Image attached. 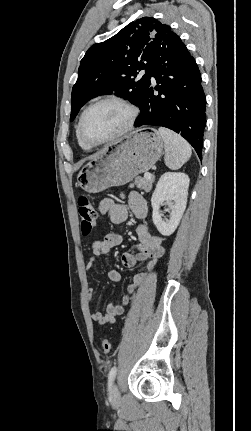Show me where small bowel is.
I'll use <instances>...</instances> for the list:
<instances>
[{
    "label": "small bowel",
    "instance_id": "1",
    "mask_svg": "<svg viewBox=\"0 0 251 431\" xmlns=\"http://www.w3.org/2000/svg\"><path fill=\"white\" fill-rule=\"evenodd\" d=\"M98 210L101 215L107 214L110 221L113 223L125 221L128 217L129 210L140 221L136 228L138 243L122 255V263L128 268L134 267L139 262H146V271L136 274L133 278V282L127 286L128 293L133 294L146 280L148 273L154 268L157 261L164 256L165 247L162 238L149 232L144 222L148 214L147 203L137 192L128 193L127 205L115 202L110 198L102 199L99 202ZM122 241V237L116 233H107L102 239L95 240L92 243V255L88 259L87 268H92L97 258L106 255L111 248L121 245ZM108 277L113 282H120L122 280L121 274L114 269L108 270ZM87 296L89 302H92L93 289L91 287L87 291ZM130 302V295H124L121 304H109L106 308V313L95 311L91 314V318L101 325L112 324L116 321L118 316L123 314L124 307Z\"/></svg>",
    "mask_w": 251,
    "mask_h": 431
}]
</instances>
